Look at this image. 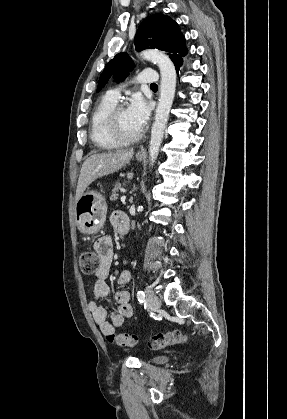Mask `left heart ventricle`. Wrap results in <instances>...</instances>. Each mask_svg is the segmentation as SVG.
<instances>
[{"label":"left heart ventricle","instance_id":"1","mask_svg":"<svg viewBox=\"0 0 287 419\" xmlns=\"http://www.w3.org/2000/svg\"><path fill=\"white\" fill-rule=\"evenodd\" d=\"M118 120L120 129L125 135L133 136L140 132L131 122L127 109L123 108L119 111Z\"/></svg>","mask_w":287,"mask_h":419}]
</instances>
